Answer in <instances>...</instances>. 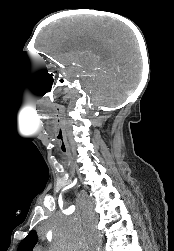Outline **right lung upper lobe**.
<instances>
[{"label": "right lung upper lobe", "instance_id": "right-lung-upper-lobe-1", "mask_svg": "<svg viewBox=\"0 0 174 251\" xmlns=\"http://www.w3.org/2000/svg\"><path fill=\"white\" fill-rule=\"evenodd\" d=\"M37 243V234L35 230L30 231L28 236L21 241L18 251H32Z\"/></svg>", "mask_w": 174, "mask_h": 251}]
</instances>
